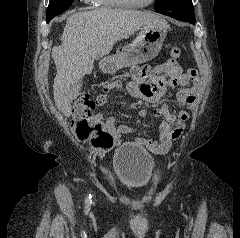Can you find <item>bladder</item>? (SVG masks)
<instances>
[{"label":"bladder","instance_id":"1","mask_svg":"<svg viewBox=\"0 0 240 238\" xmlns=\"http://www.w3.org/2000/svg\"><path fill=\"white\" fill-rule=\"evenodd\" d=\"M112 168L118 183L136 192L149 185L155 162L144 147L128 142L121 144L115 150Z\"/></svg>","mask_w":240,"mask_h":238}]
</instances>
